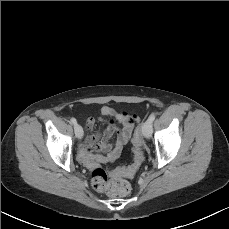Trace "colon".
Returning <instances> with one entry per match:
<instances>
[{
  "instance_id": "obj_1",
  "label": "colon",
  "mask_w": 229,
  "mask_h": 229,
  "mask_svg": "<svg viewBox=\"0 0 229 229\" xmlns=\"http://www.w3.org/2000/svg\"><path fill=\"white\" fill-rule=\"evenodd\" d=\"M134 162L128 170V174H134L142 163V145L144 143L141 129L135 131L133 137ZM91 180L93 186L98 190L106 191L110 196L116 199L127 197L131 193V186L123 178L110 180L109 174L103 168H96L92 171Z\"/></svg>"
}]
</instances>
